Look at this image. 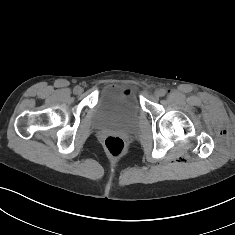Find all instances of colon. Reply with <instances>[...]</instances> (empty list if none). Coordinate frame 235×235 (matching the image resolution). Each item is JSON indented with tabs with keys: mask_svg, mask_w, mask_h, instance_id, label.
Segmentation results:
<instances>
[{
	"mask_svg": "<svg viewBox=\"0 0 235 235\" xmlns=\"http://www.w3.org/2000/svg\"><path fill=\"white\" fill-rule=\"evenodd\" d=\"M106 152L113 158L122 156L125 152V143L122 138L111 135L104 140Z\"/></svg>",
	"mask_w": 235,
	"mask_h": 235,
	"instance_id": "5ec220e1",
	"label": "colon"
}]
</instances>
